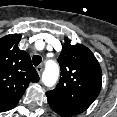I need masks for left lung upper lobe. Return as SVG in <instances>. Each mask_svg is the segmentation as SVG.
<instances>
[{
	"instance_id": "5c2ea615",
	"label": "left lung upper lobe",
	"mask_w": 117,
	"mask_h": 117,
	"mask_svg": "<svg viewBox=\"0 0 117 117\" xmlns=\"http://www.w3.org/2000/svg\"><path fill=\"white\" fill-rule=\"evenodd\" d=\"M61 76L54 90L46 93L48 101L65 104L84 112L97 98L102 72L93 53L82 44L67 40L58 58Z\"/></svg>"
}]
</instances>
